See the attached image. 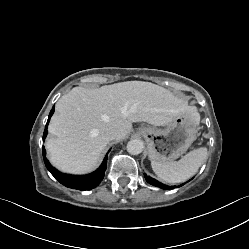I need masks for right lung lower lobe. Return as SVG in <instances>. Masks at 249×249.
<instances>
[{
	"mask_svg": "<svg viewBox=\"0 0 249 249\" xmlns=\"http://www.w3.org/2000/svg\"><path fill=\"white\" fill-rule=\"evenodd\" d=\"M54 107L52 108L48 121L44 130L43 134V140H45L46 135H47V126L50 121L51 116L54 113ZM46 151L43 146V158L45 165L49 172L56 178L61 184H63L66 187L72 188V189H78V190H90L95 188L100 184L102 181L105 170H106V165H107V156L104 158L102 165L93 173L85 175V176H72V175H67L59 172L57 169L51 166L49 161L46 158Z\"/></svg>",
	"mask_w": 249,
	"mask_h": 249,
	"instance_id": "obj_1",
	"label": "right lung lower lobe"
}]
</instances>
